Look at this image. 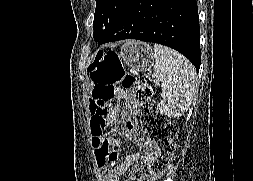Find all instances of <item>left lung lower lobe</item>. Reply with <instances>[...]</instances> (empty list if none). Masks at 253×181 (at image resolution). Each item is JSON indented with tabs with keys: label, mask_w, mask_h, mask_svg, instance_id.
I'll return each instance as SVG.
<instances>
[{
	"label": "left lung lower lobe",
	"mask_w": 253,
	"mask_h": 181,
	"mask_svg": "<svg viewBox=\"0 0 253 181\" xmlns=\"http://www.w3.org/2000/svg\"><path fill=\"white\" fill-rule=\"evenodd\" d=\"M127 38L171 47L200 68V30L196 0H131L99 45Z\"/></svg>",
	"instance_id": "0a47b994"
}]
</instances>
